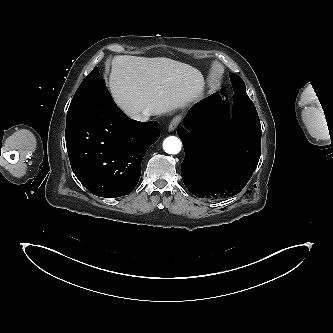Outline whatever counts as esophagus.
<instances>
[{
	"mask_svg": "<svg viewBox=\"0 0 333 333\" xmlns=\"http://www.w3.org/2000/svg\"><path fill=\"white\" fill-rule=\"evenodd\" d=\"M181 121V116H175L168 125V131H174Z\"/></svg>",
	"mask_w": 333,
	"mask_h": 333,
	"instance_id": "34e87169",
	"label": "esophagus"
}]
</instances>
